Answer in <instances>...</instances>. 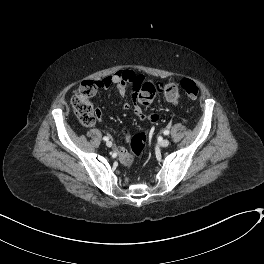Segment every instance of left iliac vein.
<instances>
[{"label": "left iliac vein", "instance_id": "4c4485c4", "mask_svg": "<svg viewBox=\"0 0 264 264\" xmlns=\"http://www.w3.org/2000/svg\"><path fill=\"white\" fill-rule=\"evenodd\" d=\"M169 144H170V142L168 139H163L160 141V146H162V147H167V146H169Z\"/></svg>", "mask_w": 264, "mask_h": 264}]
</instances>
